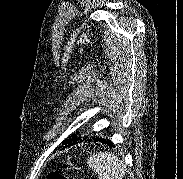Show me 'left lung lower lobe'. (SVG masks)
I'll return each mask as SVG.
<instances>
[{
    "label": "left lung lower lobe",
    "instance_id": "left-lung-lower-lobe-1",
    "mask_svg": "<svg viewBox=\"0 0 183 179\" xmlns=\"http://www.w3.org/2000/svg\"><path fill=\"white\" fill-rule=\"evenodd\" d=\"M94 139V141H98V142H101V143H103V144H107V145H109V146H112V142L110 141V140H107V139H103V138H99V137H94L93 138ZM85 139L83 138H81V137H79V138H76V139H74L73 141H71V142H69V143H67L66 144V147H69V146H72V145H75V144H78V143H80V142H82V141H84Z\"/></svg>",
    "mask_w": 183,
    "mask_h": 179
}]
</instances>
